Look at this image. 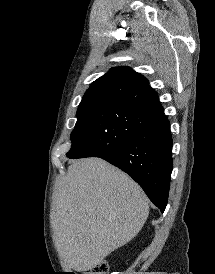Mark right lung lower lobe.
<instances>
[{
    "label": "right lung lower lobe",
    "mask_w": 215,
    "mask_h": 274,
    "mask_svg": "<svg viewBox=\"0 0 215 274\" xmlns=\"http://www.w3.org/2000/svg\"><path fill=\"white\" fill-rule=\"evenodd\" d=\"M171 150L170 124L163 113L126 144L100 158L129 174L164 212L173 166Z\"/></svg>",
    "instance_id": "1"
}]
</instances>
